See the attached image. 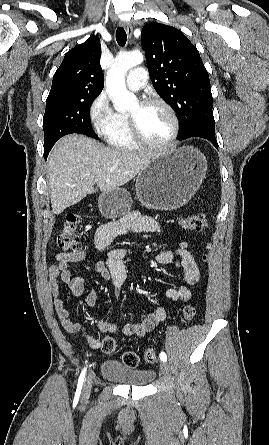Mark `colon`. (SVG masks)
I'll list each match as a JSON object with an SVG mask.
<instances>
[{
    "mask_svg": "<svg viewBox=\"0 0 269 445\" xmlns=\"http://www.w3.org/2000/svg\"><path fill=\"white\" fill-rule=\"evenodd\" d=\"M79 215L76 213H69L61 227L57 237L58 246L65 253H76L82 250L79 235ZM182 227L189 231H203L208 228V221L202 213H192L182 220ZM208 248V245H207ZM204 258H206L204 256ZM196 315V308L193 305H186L183 308V319L185 322H190ZM101 349L105 354L111 355L116 352V341L111 336H106L102 340ZM157 359L156 352L153 349H148L144 353V360L147 363H154ZM122 362L125 366L135 368L139 364V357L134 351H126L122 355Z\"/></svg>",
    "mask_w": 269,
    "mask_h": 445,
    "instance_id": "colon-1",
    "label": "colon"
}]
</instances>
